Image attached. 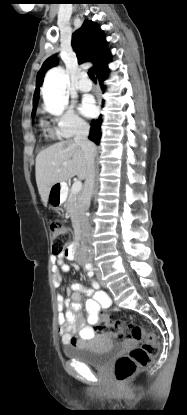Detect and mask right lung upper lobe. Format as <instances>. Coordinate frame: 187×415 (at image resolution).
<instances>
[{"instance_id": "1", "label": "right lung upper lobe", "mask_w": 187, "mask_h": 415, "mask_svg": "<svg viewBox=\"0 0 187 415\" xmlns=\"http://www.w3.org/2000/svg\"><path fill=\"white\" fill-rule=\"evenodd\" d=\"M71 45L76 53L78 63L92 62V69L95 74L111 57L102 30L96 23L89 20H85L82 26L72 34ZM57 64L58 59L56 55H52L46 59L39 70L36 77V89L33 97V111L36 110L37 107L39 87L43 82L46 71Z\"/></svg>"}]
</instances>
